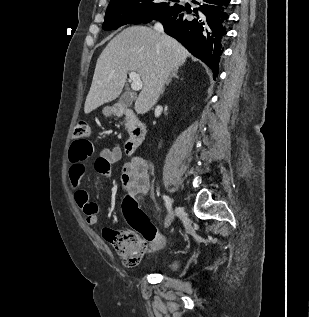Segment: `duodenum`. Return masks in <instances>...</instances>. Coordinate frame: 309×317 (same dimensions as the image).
Instances as JSON below:
<instances>
[{
	"mask_svg": "<svg viewBox=\"0 0 309 317\" xmlns=\"http://www.w3.org/2000/svg\"><path fill=\"white\" fill-rule=\"evenodd\" d=\"M116 115L124 117L128 121V140L125 145L126 152L129 154L134 153L138 147L142 144L145 135V125L137 118L135 113L122 106L116 108Z\"/></svg>",
	"mask_w": 309,
	"mask_h": 317,
	"instance_id": "obj_1",
	"label": "duodenum"
}]
</instances>
